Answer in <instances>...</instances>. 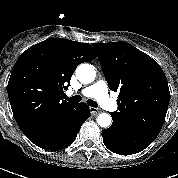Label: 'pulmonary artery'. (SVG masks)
I'll return each mask as SVG.
<instances>
[{
  "label": "pulmonary artery",
  "mask_w": 178,
  "mask_h": 178,
  "mask_svg": "<svg viewBox=\"0 0 178 178\" xmlns=\"http://www.w3.org/2000/svg\"><path fill=\"white\" fill-rule=\"evenodd\" d=\"M75 91H70L73 94ZM80 94L86 97L95 98L107 110H115L116 104L109 98L107 83L99 80L94 84L82 89Z\"/></svg>",
  "instance_id": "e3ab8cb5"
}]
</instances>
